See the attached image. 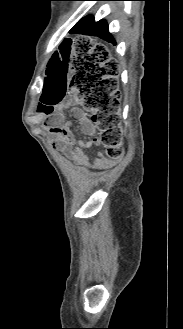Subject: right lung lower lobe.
<instances>
[{"label": "right lung lower lobe", "mask_w": 183, "mask_h": 329, "mask_svg": "<svg viewBox=\"0 0 183 329\" xmlns=\"http://www.w3.org/2000/svg\"><path fill=\"white\" fill-rule=\"evenodd\" d=\"M71 33H79L91 36H98L108 42L115 44V41L108 31V25L105 20H100L98 22L94 21L93 16L89 15L80 20L70 31ZM87 71L92 72L97 70V64H92L90 61H85L82 65Z\"/></svg>", "instance_id": "obj_1"}]
</instances>
